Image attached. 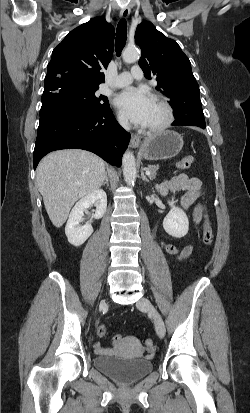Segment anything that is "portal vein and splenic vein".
I'll use <instances>...</instances> for the list:
<instances>
[{"label":"portal vein and splenic vein","instance_id":"portal-vein-and-splenic-vein-1","mask_svg":"<svg viewBox=\"0 0 250 413\" xmlns=\"http://www.w3.org/2000/svg\"><path fill=\"white\" fill-rule=\"evenodd\" d=\"M145 170H146V174L150 175L151 172L148 169H145Z\"/></svg>","mask_w":250,"mask_h":413}]
</instances>
